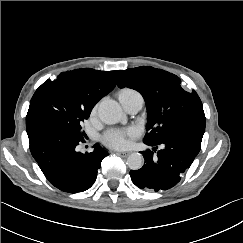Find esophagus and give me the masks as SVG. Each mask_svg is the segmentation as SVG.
Masks as SVG:
<instances>
[{"label": "esophagus", "instance_id": "1", "mask_svg": "<svg viewBox=\"0 0 243 243\" xmlns=\"http://www.w3.org/2000/svg\"><path fill=\"white\" fill-rule=\"evenodd\" d=\"M116 153L122 157H127L130 154V152H122V151H117Z\"/></svg>", "mask_w": 243, "mask_h": 243}]
</instances>
